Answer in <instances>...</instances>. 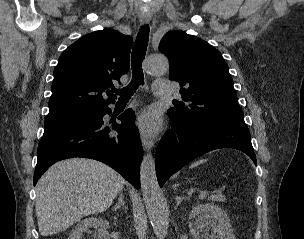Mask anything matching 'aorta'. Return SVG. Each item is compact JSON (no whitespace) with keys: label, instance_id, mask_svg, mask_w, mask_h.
Here are the masks:
<instances>
[{"label":"aorta","instance_id":"762f6f07","mask_svg":"<svg viewBox=\"0 0 304 239\" xmlns=\"http://www.w3.org/2000/svg\"><path fill=\"white\" fill-rule=\"evenodd\" d=\"M169 70V61L162 55H150L145 61L149 75H163ZM140 181L147 214L157 239H164L168 228V212L164 205L151 153L143 156L140 166Z\"/></svg>","mask_w":304,"mask_h":239}]
</instances>
